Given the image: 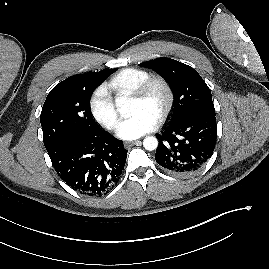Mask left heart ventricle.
Here are the masks:
<instances>
[{
  "instance_id": "obj_1",
  "label": "left heart ventricle",
  "mask_w": 269,
  "mask_h": 269,
  "mask_svg": "<svg viewBox=\"0 0 269 269\" xmlns=\"http://www.w3.org/2000/svg\"><path fill=\"white\" fill-rule=\"evenodd\" d=\"M165 103V93L159 87L155 86L144 100L132 99L130 114L144 111L158 118Z\"/></svg>"
}]
</instances>
